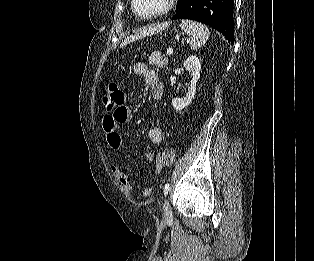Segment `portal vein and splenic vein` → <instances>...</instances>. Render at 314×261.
<instances>
[{
  "mask_svg": "<svg viewBox=\"0 0 314 261\" xmlns=\"http://www.w3.org/2000/svg\"><path fill=\"white\" fill-rule=\"evenodd\" d=\"M172 54H173V50H172V49H168V50H167V55L170 56V55H172Z\"/></svg>",
  "mask_w": 314,
  "mask_h": 261,
  "instance_id": "obj_1",
  "label": "portal vein and splenic vein"
}]
</instances>
